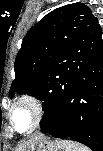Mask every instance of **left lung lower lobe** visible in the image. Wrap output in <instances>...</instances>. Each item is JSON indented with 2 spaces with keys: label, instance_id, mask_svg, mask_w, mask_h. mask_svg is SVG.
I'll return each instance as SVG.
<instances>
[{
  "label": "left lung lower lobe",
  "instance_id": "0a47b994",
  "mask_svg": "<svg viewBox=\"0 0 103 151\" xmlns=\"http://www.w3.org/2000/svg\"><path fill=\"white\" fill-rule=\"evenodd\" d=\"M34 96L44 101V133L103 151V39L98 23L69 47Z\"/></svg>",
  "mask_w": 103,
  "mask_h": 151
}]
</instances>
